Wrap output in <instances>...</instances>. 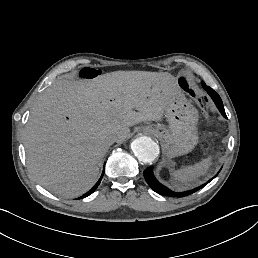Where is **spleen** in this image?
<instances>
[{
    "mask_svg": "<svg viewBox=\"0 0 258 258\" xmlns=\"http://www.w3.org/2000/svg\"><path fill=\"white\" fill-rule=\"evenodd\" d=\"M211 164V158L203 159L201 162L194 164L193 166H188L185 168H182L180 170H176L172 173V176L174 177V180L182 182L184 184H189L190 182H193L198 177L204 175L209 166ZM174 186L177 188V190H183V187H179L174 184Z\"/></svg>",
    "mask_w": 258,
    "mask_h": 258,
    "instance_id": "spleen-1",
    "label": "spleen"
}]
</instances>
